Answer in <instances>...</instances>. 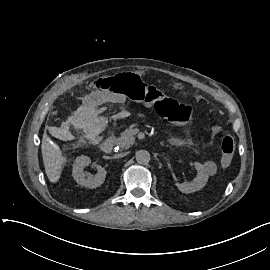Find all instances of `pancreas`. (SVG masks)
Segmentation results:
<instances>
[{
  "label": "pancreas",
  "mask_w": 270,
  "mask_h": 270,
  "mask_svg": "<svg viewBox=\"0 0 270 270\" xmlns=\"http://www.w3.org/2000/svg\"><path fill=\"white\" fill-rule=\"evenodd\" d=\"M134 141V135L131 132V129H127L122 136L118 139V145L124 148H129Z\"/></svg>",
  "instance_id": "cf45deb5"
}]
</instances>
